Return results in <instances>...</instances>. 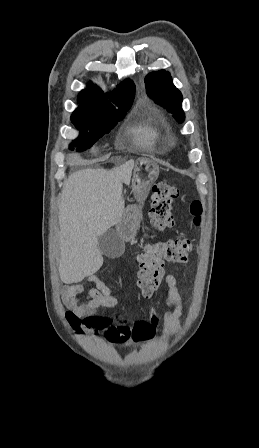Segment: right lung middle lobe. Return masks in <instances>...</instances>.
<instances>
[{"mask_svg":"<svg viewBox=\"0 0 259 448\" xmlns=\"http://www.w3.org/2000/svg\"><path fill=\"white\" fill-rule=\"evenodd\" d=\"M129 110H111L100 113H88L72 115L71 121L80 131L79 137L72 142L70 149L77 147L79 151H85L92 147L104 134L109 133L110 130L122 120L125 112Z\"/></svg>","mask_w":259,"mask_h":448,"instance_id":"dd1d6c3e","label":"right lung middle lobe"}]
</instances>
